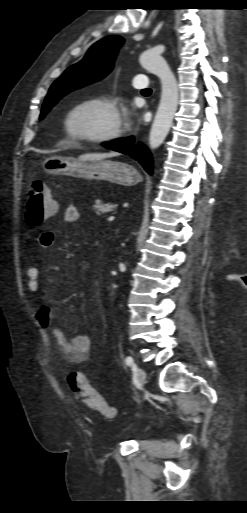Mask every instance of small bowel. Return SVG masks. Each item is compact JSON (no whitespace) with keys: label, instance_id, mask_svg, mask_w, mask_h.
Listing matches in <instances>:
<instances>
[{"label":"small bowel","instance_id":"obj_1","mask_svg":"<svg viewBox=\"0 0 247 513\" xmlns=\"http://www.w3.org/2000/svg\"><path fill=\"white\" fill-rule=\"evenodd\" d=\"M80 220V212L74 205H69L63 212L65 223H76ZM55 241V232L43 230L38 235V244L42 249L50 247ZM83 268V264H79ZM41 268L38 265H31L27 269V290L30 293H37L41 289ZM39 323L52 334L55 339L59 357L68 363H80L88 359L91 351V337L88 335H68L57 326L56 308L44 305L35 313Z\"/></svg>","mask_w":247,"mask_h":513}]
</instances>
